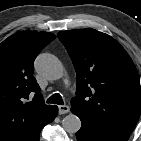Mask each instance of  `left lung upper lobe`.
<instances>
[{
  "label": "left lung upper lobe",
  "mask_w": 141,
  "mask_h": 141,
  "mask_svg": "<svg viewBox=\"0 0 141 141\" xmlns=\"http://www.w3.org/2000/svg\"><path fill=\"white\" fill-rule=\"evenodd\" d=\"M77 74L72 108L110 130L130 134L141 114V88L136 67L109 35L87 28L61 31Z\"/></svg>",
  "instance_id": "left-lung-upper-lobe-1"
}]
</instances>
